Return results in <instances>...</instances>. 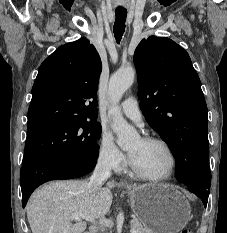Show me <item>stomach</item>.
Returning <instances> with one entry per match:
<instances>
[{
    "label": "stomach",
    "mask_w": 227,
    "mask_h": 233,
    "mask_svg": "<svg viewBox=\"0 0 227 233\" xmlns=\"http://www.w3.org/2000/svg\"><path fill=\"white\" fill-rule=\"evenodd\" d=\"M127 193L134 214L151 233H178L190 220L189 202L173 186H128Z\"/></svg>",
    "instance_id": "stomach-1"
}]
</instances>
